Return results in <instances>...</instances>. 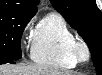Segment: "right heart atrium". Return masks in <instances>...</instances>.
<instances>
[{"label":"right heart atrium","instance_id":"right-heart-atrium-1","mask_svg":"<svg viewBox=\"0 0 102 75\" xmlns=\"http://www.w3.org/2000/svg\"><path fill=\"white\" fill-rule=\"evenodd\" d=\"M30 23H28L25 27H24V29H23V31H22V34H21V41L22 42H24V40L26 39V37L28 36V33H29V30H30Z\"/></svg>","mask_w":102,"mask_h":75}]
</instances>
